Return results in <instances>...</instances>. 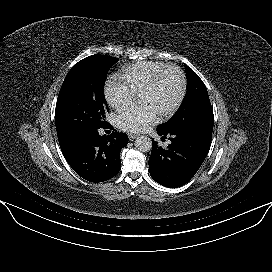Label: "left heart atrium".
<instances>
[{
    "label": "left heart atrium",
    "mask_w": 272,
    "mask_h": 272,
    "mask_svg": "<svg viewBox=\"0 0 272 272\" xmlns=\"http://www.w3.org/2000/svg\"><path fill=\"white\" fill-rule=\"evenodd\" d=\"M159 114L148 104L133 105L122 112L116 118V125L125 131L142 132L157 122Z\"/></svg>",
    "instance_id": "1"
}]
</instances>
